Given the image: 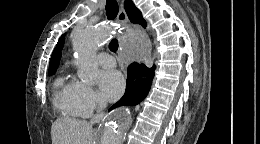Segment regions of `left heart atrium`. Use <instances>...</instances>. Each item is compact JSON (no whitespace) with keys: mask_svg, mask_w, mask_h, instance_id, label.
Returning <instances> with one entry per match:
<instances>
[{"mask_svg":"<svg viewBox=\"0 0 260 144\" xmlns=\"http://www.w3.org/2000/svg\"><path fill=\"white\" fill-rule=\"evenodd\" d=\"M98 84L101 96L108 101L119 98L125 88L124 77L115 70L101 72L98 77Z\"/></svg>","mask_w":260,"mask_h":144,"instance_id":"obj_1","label":"left heart atrium"}]
</instances>
